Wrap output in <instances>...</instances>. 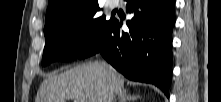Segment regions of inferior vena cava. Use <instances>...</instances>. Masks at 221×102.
<instances>
[{"label":"inferior vena cava","mask_w":221,"mask_h":102,"mask_svg":"<svg viewBox=\"0 0 221 102\" xmlns=\"http://www.w3.org/2000/svg\"><path fill=\"white\" fill-rule=\"evenodd\" d=\"M101 64L103 65V66H108L107 64H106V62H101ZM113 98H111V100H109V102H112L113 100H112Z\"/></svg>","instance_id":"obj_1"}]
</instances>
